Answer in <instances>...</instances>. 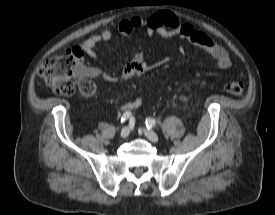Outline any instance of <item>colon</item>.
I'll return each mask as SVG.
<instances>
[{
  "instance_id": "5ec220e1",
  "label": "colon",
  "mask_w": 275,
  "mask_h": 215,
  "mask_svg": "<svg viewBox=\"0 0 275 215\" xmlns=\"http://www.w3.org/2000/svg\"><path fill=\"white\" fill-rule=\"evenodd\" d=\"M84 53L80 48L67 49L62 55L47 59L40 68L39 74L46 85L58 95L69 96L76 88L86 98L95 96L96 84L85 78ZM79 78L78 85L75 79ZM225 90L232 95H242L245 85L238 80H231Z\"/></svg>"
}]
</instances>
